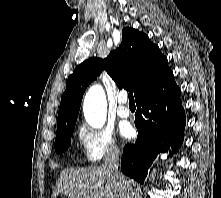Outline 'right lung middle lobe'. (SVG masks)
<instances>
[{
	"instance_id": "dd1d6c3e",
	"label": "right lung middle lobe",
	"mask_w": 221,
	"mask_h": 198,
	"mask_svg": "<svg viewBox=\"0 0 221 198\" xmlns=\"http://www.w3.org/2000/svg\"><path fill=\"white\" fill-rule=\"evenodd\" d=\"M74 127L75 126L56 133L54 147L57 153L65 152L71 145L70 138L73 134Z\"/></svg>"
}]
</instances>
